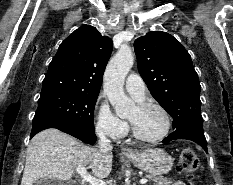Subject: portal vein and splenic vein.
<instances>
[{"instance_id":"obj_1","label":"portal vein and splenic vein","mask_w":233,"mask_h":185,"mask_svg":"<svg viewBox=\"0 0 233 185\" xmlns=\"http://www.w3.org/2000/svg\"><path fill=\"white\" fill-rule=\"evenodd\" d=\"M77 172L81 176V178L84 181L88 182L90 185H106V183L104 181L91 176L87 172L85 167H78ZM147 182H148V180L146 178H143V179L140 180L141 184H146Z\"/></svg>"}]
</instances>
